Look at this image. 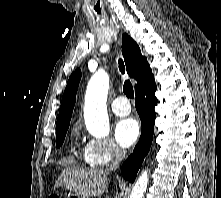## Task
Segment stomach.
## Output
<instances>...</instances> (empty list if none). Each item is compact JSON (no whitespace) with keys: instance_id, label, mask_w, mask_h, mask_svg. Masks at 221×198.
Listing matches in <instances>:
<instances>
[{"instance_id":"stomach-1","label":"stomach","mask_w":221,"mask_h":198,"mask_svg":"<svg viewBox=\"0 0 221 198\" xmlns=\"http://www.w3.org/2000/svg\"><path fill=\"white\" fill-rule=\"evenodd\" d=\"M71 198H88L85 195L73 194Z\"/></svg>"}]
</instances>
